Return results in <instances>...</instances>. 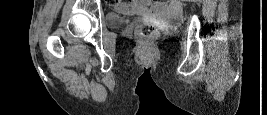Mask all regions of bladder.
Here are the masks:
<instances>
[{"label":"bladder","instance_id":"obj_1","mask_svg":"<svg viewBox=\"0 0 267 115\" xmlns=\"http://www.w3.org/2000/svg\"><path fill=\"white\" fill-rule=\"evenodd\" d=\"M133 21L132 18L111 14L107 17V23L111 27H120L122 25H126L128 23H131Z\"/></svg>","mask_w":267,"mask_h":115}]
</instances>
